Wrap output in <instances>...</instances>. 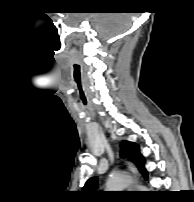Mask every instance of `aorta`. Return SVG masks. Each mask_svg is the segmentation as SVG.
Segmentation results:
<instances>
[{
	"instance_id": "762f6f07",
	"label": "aorta",
	"mask_w": 194,
	"mask_h": 202,
	"mask_svg": "<svg viewBox=\"0 0 194 202\" xmlns=\"http://www.w3.org/2000/svg\"><path fill=\"white\" fill-rule=\"evenodd\" d=\"M130 183L131 179L126 175H113L107 181V189H109V191H122L127 188ZM139 188L141 191L146 189L143 186Z\"/></svg>"
}]
</instances>
